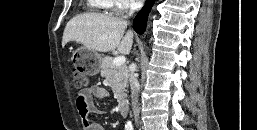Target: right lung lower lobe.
<instances>
[{"label": "right lung lower lobe", "instance_id": "1", "mask_svg": "<svg viewBox=\"0 0 257 130\" xmlns=\"http://www.w3.org/2000/svg\"><path fill=\"white\" fill-rule=\"evenodd\" d=\"M154 0L148 1V4L136 15L133 21V27L135 31L142 34L146 29L147 16L150 12Z\"/></svg>", "mask_w": 257, "mask_h": 130}]
</instances>
